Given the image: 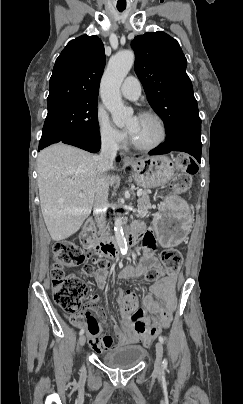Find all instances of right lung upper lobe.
Wrapping results in <instances>:
<instances>
[{"label":"right lung upper lobe","mask_w":243,"mask_h":404,"mask_svg":"<svg viewBox=\"0 0 243 404\" xmlns=\"http://www.w3.org/2000/svg\"><path fill=\"white\" fill-rule=\"evenodd\" d=\"M104 67V46L97 36L82 35L70 41L55 62L47 104L98 99Z\"/></svg>","instance_id":"right-lung-upper-lobe-1"}]
</instances>
